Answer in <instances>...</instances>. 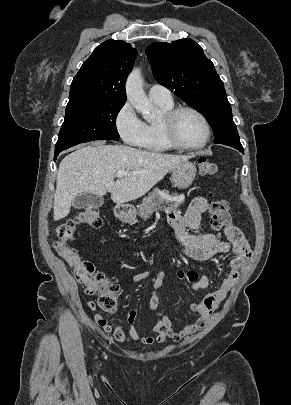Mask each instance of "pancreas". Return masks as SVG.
<instances>
[{
    "label": "pancreas",
    "instance_id": "obj_1",
    "mask_svg": "<svg viewBox=\"0 0 291 405\" xmlns=\"http://www.w3.org/2000/svg\"><path fill=\"white\" fill-rule=\"evenodd\" d=\"M183 199L181 196L174 195L169 196L168 192L163 190H154L148 196L143 198L142 203L139 205L138 214L143 219H147L153 212H156L158 209H177L182 204ZM165 204L166 206H161Z\"/></svg>",
    "mask_w": 291,
    "mask_h": 405
}]
</instances>
